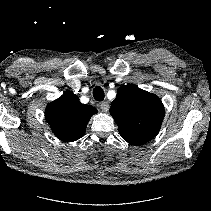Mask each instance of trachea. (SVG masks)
<instances>
[{
  "label": "trachea",
  "mask_w": 211,
  "mask_h": 211,
  "mask_svg": "<svg viewBox=\"0 0 211 211\" xmlns=\"http://www.w3.org/2000/svg\"><path fill=\"white\" fill-rule=\"evenodd\" d=\"M104 90L100 87V86H96L93 89V97L97 100V101H103L104 100Z\"/></svg>",
  "instance_id": "3493384b"
}]
</instances>
